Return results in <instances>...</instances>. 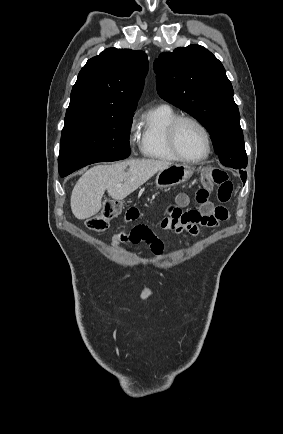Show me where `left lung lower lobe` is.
<instances>
[{
    "mask_svg": "<svg viewBox=\"0 0 283 434\" xmlns=\"http://www.w3.org/2000/svg\"><path fill=\"white\" fill-rule=\"evenodd\" d=\"M244 168H245V167H244ZM240 172L242 173L241 178H242V180L245 182L246 177H247V174H246V172L242 171L241 169H240Z\"/></svg>",
    "mask_w": 283,
    "mask_h": 434,
    "instance_id": "0a47b994",
    "label": "left lung lower lobe"
}]
</instances>
